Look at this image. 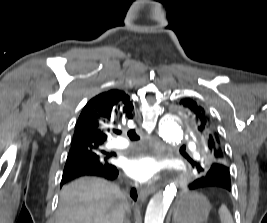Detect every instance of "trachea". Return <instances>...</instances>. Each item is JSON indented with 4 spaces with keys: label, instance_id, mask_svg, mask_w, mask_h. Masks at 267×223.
Segmentation results:
<instances>
[{
    "label": "trachea",
    "instance_id": "1",
    "mask_svg": "<svg viewBox=\"0 0 267 223\" xmlns=\"http://www.w3.org/2000/svg\"><path fill=\"white\" fill-rule=\"evenodd\" d=\"M118 133H121V131H119ZM127 135L131 141H136L140 139L135 130H129Z\"/></svg>",
    "mask_w": 267,
    "mask_h": 223
}]
</instances>
